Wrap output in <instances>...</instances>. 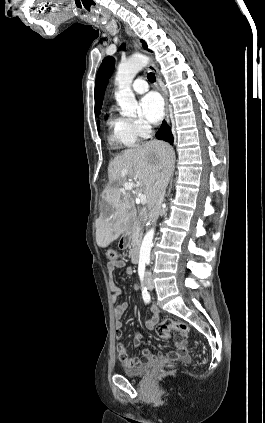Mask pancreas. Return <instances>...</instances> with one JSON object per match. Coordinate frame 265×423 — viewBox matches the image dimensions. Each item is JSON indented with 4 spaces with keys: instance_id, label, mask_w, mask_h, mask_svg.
<instances>
[{
    "instance_id": "cf45deb5",
    "label": "pancreas",
    "mask_w": 265,
    "mask_h": 423,
    "mask_svg": "<svg viewBox=\"0 0 265 423\" xmlns=\"http://www.w3.org/2000/svg\"><path fill=\"white\" fill-rule=\"evenodd\" d=\"M141 231H142V225L140 223L137 224L132 230L131 238L133 240V245H136L137 241L139 240L141 236Z\"/></svg>"
}]
</instances>
